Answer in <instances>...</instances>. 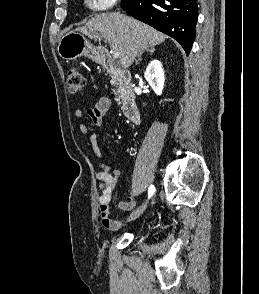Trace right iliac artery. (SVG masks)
<instances>
[{
	"instance_id": "right-iliac-artery-1",
	"label": "right iliac artery",
	"mask_w": 259,
	"mask_h": 294,
	"mask_svg": "<svg viewBox=\"0 0 259 294\" xmlns=\"http://www.w3.org/2000/svg\"><path fill=\"white\" fill-rule=\"evenodd\" d=\"M154 192H155L154 186L150 185L149 190H148V194H149L148 198H150L154 194Z\"/></svg>"
}]
</instances>
